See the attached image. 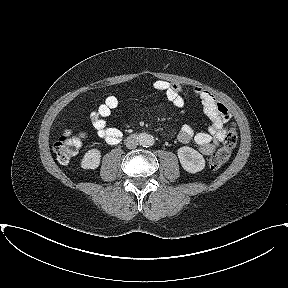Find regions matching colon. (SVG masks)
I'll use <instances>...</instances> for the list:
<instances>
[{
  "label": "colon",
  "instance_id": "obj_1",
  "mask_svg": "<svg viewBox=\"0 0 288 288\" xmlns=\"http://www.w3.org/2000/svg\"><path fill=\"white\" fill-rule=\"evenodd\" d=\"M83 139L84 137L82 134L75 133L72 128H68L54 142L53 150L57 156V159L61 163L69 162L81 148ZM237 141V130L235 126H231L226 131L222 147L209 158L208 164L211 169H218L229 160L234 148L237 145Z\"/></svg>",
  "mask_w": 288,
  "mask_h": 288
}]
</instances>
